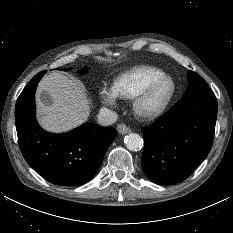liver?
Here are the masks:
<instances>
[{"mask_svg":"<svg viewBox=\"0 0 233 233\" xmlns=\"http://www.w3.org/2000/svg\"><path fill=\"white\" fill-rule=\"evenodd\" d=\"M48 92L51 105H45L41 93ZM37 116L42 127L50 132H66L87 121L90 101L84 89L61 73H51L39 83L36 93Z\"/></svg>","mask_w":233,"mask_h":233,"instance_id":"6515ba94","label":"liver"}]
</instances>
